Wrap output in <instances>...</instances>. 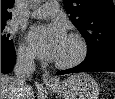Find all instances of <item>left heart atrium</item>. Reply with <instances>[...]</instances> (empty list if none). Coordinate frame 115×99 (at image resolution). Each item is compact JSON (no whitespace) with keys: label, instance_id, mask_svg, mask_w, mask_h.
Segmentation results:
<instances>
[{"label":"left heart atrium","instance_id":"obj_1","mask_svg":"<svg viewBox=\"0 0 115 99\" xmlns=\"http://www.w3.org/2000/svg\"><path fill=\"white\" fill-rule=\"evenodd\" d=\"M66 39V33L60 25L34 26L27 35L34 54L48 61L58 59Z\"/></svg>","mask_w":115,"mask_h":99}]
</instances>
